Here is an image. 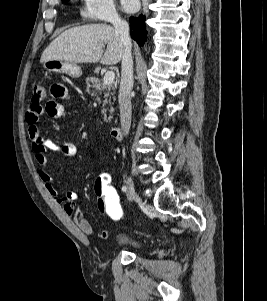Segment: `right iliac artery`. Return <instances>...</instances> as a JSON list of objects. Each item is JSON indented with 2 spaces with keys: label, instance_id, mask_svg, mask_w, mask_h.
<instances>
[{
  "label": "right iliac artery",
  "instance_id": "82829eb1",
  "mask_svg": "<svg viewBox=\"0 0 267 301\" xmlns=\"http://www.w3.org/2000/svg\"><path fill=\"white\" fill-rule=\"evenodd\" d=\"M126 190H127V187H126V186H123V187H122V191H123V192H126Z\"/></svg>",
  "mask_w": 267,
  "mask_h": 301
}]
</instances>
